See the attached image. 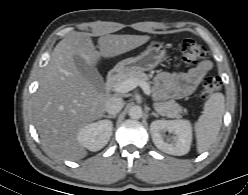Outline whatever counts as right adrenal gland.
<instances>
[{"label":"right adrenal gland","instance_id":"1","mask_svg":"<svg viewBox=\"0 0 248 195\" xmlns=\"http://www.w3.org/2000/svg\"><path fill=\"white\" fill-rule=\"evenodd\" d=\"M105 118H111L114 119L116 118V115H103Z\"/></svg>","mask_w":248,"mask_h":195}]
</instances>
